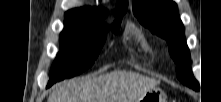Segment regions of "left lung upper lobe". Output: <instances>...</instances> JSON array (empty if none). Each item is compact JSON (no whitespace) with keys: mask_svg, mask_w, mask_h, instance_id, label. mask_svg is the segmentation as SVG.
Here are the masks:
<instances>
[{"mask_svg":"<svg viewBox=\"0 0 221 102\" xmlns=\"http://www.w3.org/2000/svg\"><path fill=\"white\" fill-rule=\"evenodd\" d=\"M133 13L151 32L166 39L170 55L177 65V78L198 91L199 83L191 71L190 54L176 3L171 0H136Z\"/></svg>","mask_w":221,"mask_h":102,"instance_id":"1","label":"left lung upper lobe"}]
</instances>
